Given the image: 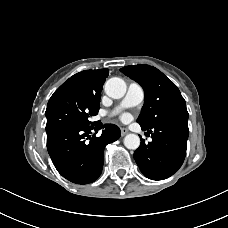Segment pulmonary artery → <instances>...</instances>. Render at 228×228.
<instances>
[{
	"label": "pulmonary artery",
	"mask_w": 228,
	"mask_h": 228,
	"mask_svg": "<svg viewBox=\"0 0 228 228\" xmlns=\"http://www.w3.org/2000/svg\"><path fill=\"white\" fill-rule=\"evenodd\" d=\"M145 93L142 86L136 82L129 84L126 95L122 99L115 112L128 107L137 106L144 100Z\"/></svg>",
	"instance_id": "1"
}]
</instances>
